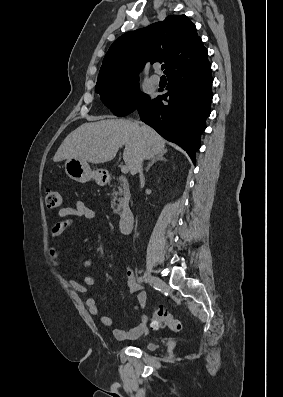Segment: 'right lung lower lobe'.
I'll return each mask as SVG.
<instances>
[{
	"label": "right lung lower lobe",
	"mask_w": 283,
	"mask_h": 397,
	"mask_svg": "<svg viewBox=\"0 0 283 397\" xmlns=\"http://www.w3.org/2000/svg\"><path fill=\"white\" fill-rule=\"evenodd\" d=\"M206 58L167 74L168 92L140 105V119L165 139L183 148L193 163L200 148V135L211 112L213 78Z\"/></svg>",
	"instance_id": "98d812e1"
}]
</instances>
